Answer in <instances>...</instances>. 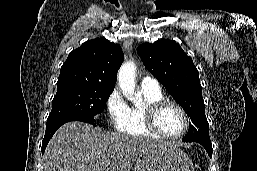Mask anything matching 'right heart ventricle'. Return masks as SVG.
<instances>
[{
  "label": "right heart ventricle",
  "mask_w": 257,
  "mask_h": 171,
  "mask_svg": "<svg viewBox=\"0 0 257 171\" xmlns=\"http://www.w3.org/2000/svg\"><path fill=\"white\" fill-rule=\"evenodd\" d=\"M139 95L142 99V103L128 106L126 119L120 131L132 136L158 137L146 127V107L150 103L164 99V94L160 88H149L141 85Z\"/></svg>",
  "instance_id": "obj_1"
}]
</instances>
